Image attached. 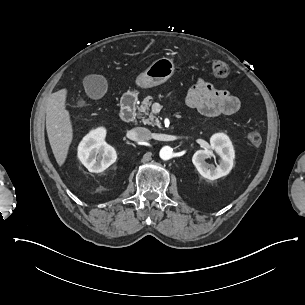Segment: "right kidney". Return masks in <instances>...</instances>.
I'll list each match as a JSON object with an SVG mask.
<instances>
[{
	"mask_svg": "<svg viewBox=\"0 0 305 305\" xmlns=\"http://www.w3.org/2000/svg\"><path fill=\"white\" fill-rule=\"evenodd\" d=\"M104 137V128L94 129L78 146V158L90 172H102L117 159L115 149L103 141Z\"/></svg>",
	"mask_w": 305,
	"mask_h": 305,
	"instance_id": "1",
	"label": "right kidney"
}]
</instances>
